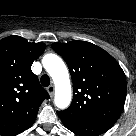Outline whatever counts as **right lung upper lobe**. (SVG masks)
<instances>
[{
    "instance_id": "cb5924a9",
    "label": "right lung upper lobe",
    "mask_w": 136,
    "mask_h": 136,
    "mask_svg": "<svg viewBox=\"0 0 136 136\" xmlns=\"http://www.w3.org/2000/svg\"><path fill=\"white\" fill-rule=\"evenodd\" d=\"M20 36L0 40V136H16L36 120L48 93L31 71L32 62L45 50Z\"/></svg>"
}]
</instances>
